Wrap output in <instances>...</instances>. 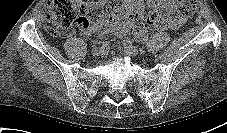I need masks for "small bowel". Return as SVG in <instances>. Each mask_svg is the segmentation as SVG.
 <instances>
[{
    "label": "small bowel",
    "instance_id": "1",
    "mask_svg": "<svg viewBox=\"0 0 227 133\" xmlns=\"http://www.w3.org/2000/svg\"><path fill=\"white\" fill-rule=\"evenodd\" d=\"M147 3L151 8H163L167 11L164 14L163 22L157 23L159 27L173 30L184 23V18L177 12V0H147ZM143 9V0H123L122 7L107 21L106 27L101 33L124 37L132 32L135 36L142 37L146 32L147 26L155 24L149 21H146V23L138 22L133 19V13L135 11L142 13ZM103 25L104 21H99L87 29L85 34L91 36L94 31L100 29Z\"/></svg>",
    "mask_w": 227,
    "mask_h": 133
}]
</instances>
